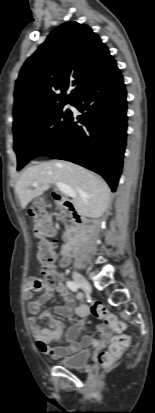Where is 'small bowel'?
<instances>
[{"instance_id":"c3829d8e","label":"small bowel","mask_w":155,"mask_h":413,"mask_svg":"<svg viewBox=\"0 0 155 413\" xmlns=\"http://www.w3.org/2000/svg\"><path fill=\"white\" fill-rule=\"evenodd\" d=\"M59 274L60 282L58 286L54 288L46 286L43 279L39 277L29 279L26 283L25 296L26 299L29 300L28 309L33 315L28 319V324L38 350L52 359H61L68 357L89 345L105 346L110 338V331L104 324L99 326V329L102 332L101 339L98 340L93 337H85L80 342H77L76 338L80 334L82 328L81 323L68 327L65 335V339L68 343L66 346L57 348L51 346L52 342L59 340L62 337L63 328L65 326L64 322L61 319L52 316L48 311L42 312L39 317H35L34 315L40 313L42 305L51 299L55 292L58 293L63 300V305L55 307L59 316L70 319L74 314L80 318H85L90 314L89 306L83 302V295L79 294L77 296L79 304H76L71 292L63 284V274ZM35 291H42V294L37 299H33ZM44 319L49 320L48 328L41 327V321Z\"/></svg>"}]
</instances>
